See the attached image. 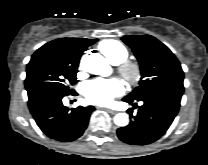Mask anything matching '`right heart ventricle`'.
<instances>
[{
	"label": "right heart ventricle",
	"mask_w": 208,
	"mask_h": 165,
	"mask_svg": "<svg viewBox=\"0 0 208 165\" xmlns=\"http://www.w3.org/2000/svg\"><path fill=\"white\" fill-rule=\"evenodd\" d=\"M99 49L112 64H120L128 57L127 48L117 40H104L99 44Z\"/></svg>",
	"instance_id": "right-heart-ventricle-1"
}]
</instances>
